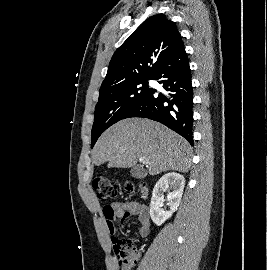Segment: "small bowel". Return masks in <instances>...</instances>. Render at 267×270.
<instances>
[{
    "label": "small bowel",
    "mask_w": 267,
    "mask_h": 270,
    "mask_svg": "<svg viewBox=\"0 0 267 270\" xmlns=\"http://www.w3.org/2000/svg\"><path fill=\"white\" fill-rule=\"evenodd\" d=\"M103 215L106 221L111 240L115 237L116 227L114 222L119 220L121 223L127 221L130 217H137L139 226L138 234L141 237H147L150 232V219L146 207L138 201L115 202L105 206Z\"/></svg>",
    "instance_id": "obj_1"
}]
</instances>
